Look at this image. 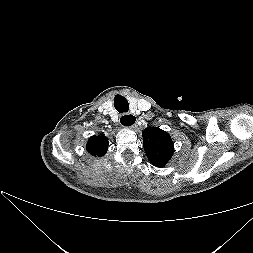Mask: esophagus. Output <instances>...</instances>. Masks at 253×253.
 <instances>
[{"instance_id": "obj_1", "label": "esophagus", "mask_w": 253, "mask_h": 253, "mask_svg": "<svg viewBox=\"0 0 253 253\" xmlns=\"http://www.w3.org/2000/svg\"><path fill=\"white\" fill-rule=\"evenodd\" d=\"M119 120H120V124L125 128L132 129L136 127L137 118L135 115L131 113L122 114Z\"/></svg>"}]
</instances>
